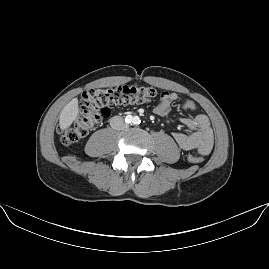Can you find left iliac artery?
<instances>
[{"label": "left iliac artery", "instance_id": "1", "mask_svg": "<svg viewBox=\"0 0 269 269\" xmlns=\"http://www.w3.org/2000/svg\"><path fill=\"white\" fill-rule=\"evenodd\" d=\"M140 122H141V120H140V118H139L138 116H135V117L133 118L132 123H133L134 125H139Z\"/></svg>", "mask_w": 269, "mask_h": 269}]
</instances>
